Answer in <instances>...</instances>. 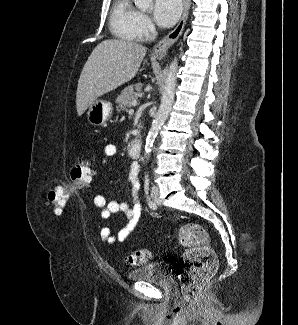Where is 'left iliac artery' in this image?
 Instances as JSON below:
<instances>
[{
  "label": "left iliac artery",
  "mask_w": 298,
  "mask_h": 325,
  "mask_svg": "<svg viewBox=\"0 0 298 325\" xmlns=\"http://www.w3.org/2000/svg\"><path fill=\"white\" fill-rule=\"evenodd\" d=\"M149 185H150V178H149V175L146 174L145 179H144V191H145V194H146V197H147L149 207L154 210V209H156V205L151 200L150 196L148 195L149 194Z\"/></svg>",
  "instance_id": "1"
}]
</instances>
